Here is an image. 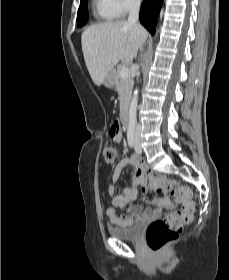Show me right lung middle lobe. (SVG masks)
<instances>
[{
	"label": "right lung middle lobe",
	"instance_id": "1",
	"mask_svg": "<svg viewBox=\"0 0 229 280\" xmlns=\"http://www.w3.org/2000/svg\"><path fill=\"white\" fill-rule=\"evenodd\" d=\"M88 21V0H81L77 14V24L83 26Z\"/></svg>",
	"mask_w": 229,
	"mask_h": 280
}]
</instances>
